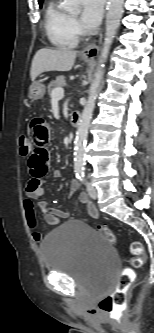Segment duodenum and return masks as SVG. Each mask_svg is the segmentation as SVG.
I'll use <instances>...</instances> for the list:
<instances>
[{"mask_svg": "<svg viewBox=\"0 0 154 333\" xmlns=\"http://www.w3.org/2000/svg\"><path fill=\"white\" fill-rule=\"evenodd\" d=\"M81 113L80 111H73L70 117V123L73 127H78L80 125Z\"/></svg>", "mask_w": 154, "mask_h": 333, "instance_id": "duodenum-1", "label": "duodenum"}]
</instances>
